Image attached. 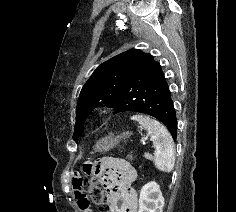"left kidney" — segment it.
I'll use <instances>...</instances> for the list:
<instances>
[{"label":"left kidney","instance_id":"obj_1","mask_svg":"<svg viewBox=\"0 0 236 212\" xmlns=\"http://www.w3.org/2000/svg\"><path fill=\"white\" fill-rule=\"evenodd\" d=\"M164 198L159 185L152 181L140 191L138 212H163Z\"/></svg>","mask_w":236,"mask_h":212}]
</instances>
